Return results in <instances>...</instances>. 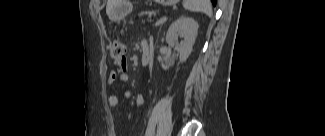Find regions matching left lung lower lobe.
<instances>
[{
  "instance_id": "obj_1",
  "label": "left lung lower lobe",
  "mask_w": 325,
  "mask_h": 136,
  "mask_svg": "<svg viewBox=\"0 0 325 136\" xmlns=\"http://www.w3.org/2000/svg\"><path fill=\"white\" fill-rule=\"evenodd\" d=\"M213 5L215 6L217 0H211Z\"/></svg>"
}]
</instances>
